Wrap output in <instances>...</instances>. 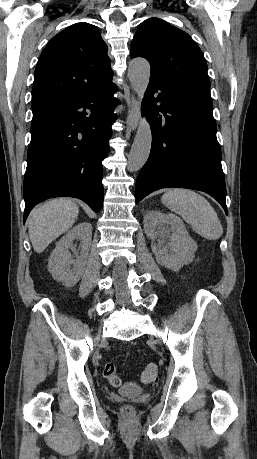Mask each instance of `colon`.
Returning a JSON list of instances; mask_svg holds the SVG:
<instances>
[{
  "label": "colon",
  "instance_id": "5ec220e1",
  "mask_svg": "<svg viewBox=\"0 0 257 459\" xmlns=\"http://www.w3.org/2000/svg\"><path fill=\"white\" fill-rule=\"evenodd\" d=\"M158 375V368L155 363H150L141 373V380L145 383H151L156 380ZM103 377L109 381L112 386H120L121 378L117 374L116 365L114 362H107L103 367ZM122 412L125 416H132L134 410L131 406L126 405L123 407Z\"/></svg>",
  "mask_w": 257,
  "mask_h": 459
}]
</instances>
